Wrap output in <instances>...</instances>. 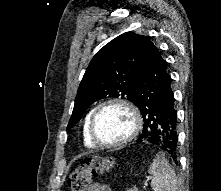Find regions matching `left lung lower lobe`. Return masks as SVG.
<instances>
[{
	"instance_id": "1",
	"label": "left lung lower lobe",
	"mask_w": 221,
	"mask_h": 191,
	"mask_svg": "<svg viewBox=\"0 0 221 191\" xmlns=\"http://www.w3.org/2000/svg\"><path fill=\"white\" fill-rule=\"evenodd\" d=\"M145 52L135 86V104L144 122L142 134L137 141H148L176 160L177 111L172 79L167 72L166 61L151 41Z\"/></svg>"
}]
</instances>
